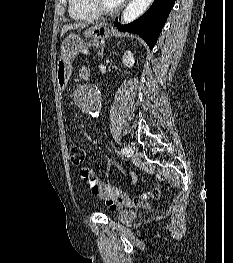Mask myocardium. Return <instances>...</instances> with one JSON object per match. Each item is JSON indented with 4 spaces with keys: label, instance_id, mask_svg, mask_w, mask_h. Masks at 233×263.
Here are the masks:
<instances>
[{
    "label": "myocardium",
    "instance_id": "myocardium-1",
    "mask_svg": "<svg viewBox=\"0 0 233 263\" xmlns=\"http://www.w3.org/2000/svg\"><path fill=\"white\" fill-rule=\"evenodd\" d=\"M90 7L97 13V15H113L117 13L121 7H122V2L118 3L113 8H105L103 7L99 0H88Z\"/></svg>",
    "mask_w": 233,
    "mask_h": 263
}]
</instances>
